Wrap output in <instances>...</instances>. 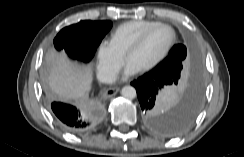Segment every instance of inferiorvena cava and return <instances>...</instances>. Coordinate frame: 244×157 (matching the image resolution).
I'll return each mask as SVG.
<instances>
[{
	"mask_svg": "<svg viewBox=\"0 0 244 157\" xmlns=\"http://www.w3.org/2000/svg\"><path fill=\"white\" fill-rule=\"evenodd\" d=\"M116 80V75L114 73H111V74H107L105 77H104V82L106 83H112Z\"/></svg>",
	"mask_w": 244,
	"mask_h": 157,
	"instance_id": "inferior-vena-cava-1",
	"label": "inferior vena cava"
}]
</instances>
